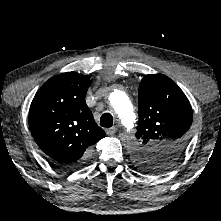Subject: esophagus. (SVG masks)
Segmentation results:
<instances>
[{
  "mask_svg": "<svg viewBox=\"0 0 221 221\" xmlns=\"http://www.w3.org/2000/svg\"><path fill=\"white\" fill-rule=\"evenodd\" d=\"M117 128L116 127H111L106 130V133L108 136H113L116 133Z\"/></svg>",
  "mask_w": 221,
  "mask_h": 221,
  "instance_id": "34e87169",
  "label": "esophagus"
}]
</instances>
